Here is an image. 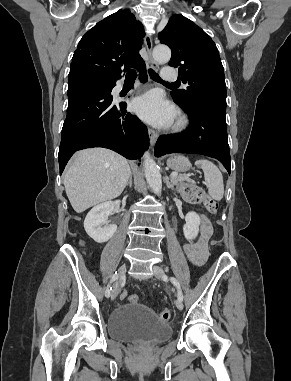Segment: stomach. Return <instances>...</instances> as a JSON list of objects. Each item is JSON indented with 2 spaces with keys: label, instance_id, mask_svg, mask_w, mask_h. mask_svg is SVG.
I'll return each mask as SVG.
<instances>
[{
  "label": "stomach",
  "instance_id": "stomach-1",
  "mask_svg": "<svg viewBox=\"0 0 291 381\" xmlns=\"http://www.w3.org/2000/svg\"><path fill=\"white\" fill-rule=\"evenodd\" d=\"M167 165L177 172H185L190 169V161L183 155H174L167 160Z\"/></svg>",
  "mask_w": 291,
  "mask_h": 381
}]
</instances>
